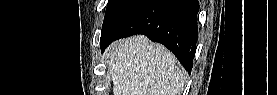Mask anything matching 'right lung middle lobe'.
Listing matches in <instances>:
<instances>
[{
	"label": "right lung middle lobe",
	"mask_w": 277,
	"mask_h": 95,
	"mask_svg": "<svg viewBox=\"0 0 277 95\" xmlns=\"http://www.w3.org/2000/svg\"><path fill=\"white\" fill-rule=\"evenodd\" d=\"M144 1L145 0H109L101 30V43Z\"/></svg>",
	"instance_id": "dd1d6c3e"
}]
</instances>
